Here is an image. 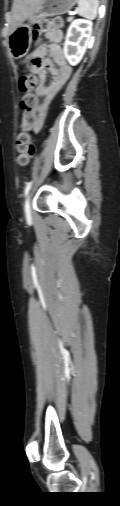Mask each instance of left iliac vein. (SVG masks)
<instances>
[{"mask_svg":"<svg viewBox=\"0 0 120 506\" xmlns=\"http://www.w3.org/2000/svg\"><path fill=\"white\" fill-rule=\"evenodd\" d=\"M25 214L27 217H29L31 215V210H30V197H28L25 201Z\"/></svg>","mask_w":120,"mask_h":506,"instance_id":"left-iliac-vein-1","label":"left iliac vein"}]
</instances>
